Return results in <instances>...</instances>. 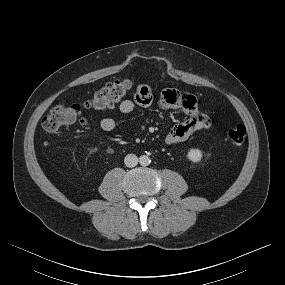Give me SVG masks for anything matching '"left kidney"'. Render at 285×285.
Wrapping results in <instances>:
<instances>
[{"instance_id": "obj_1", "label": "left kidney", "mask_w": 285, "mask_h": 285, "mask_svg": "<svg viewBox=\"0 0 285 285\" xmlns=\"http://www.w3.org/2000/svg\"><path fill=\"white\" fill-rule=\"evenodd\" d=\"M202 156V151L199 149H190L187 153V158L194 163L201 162Z\"/></svg>"}]
</instances>
